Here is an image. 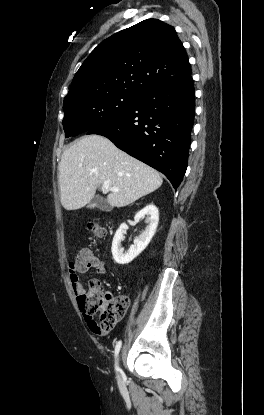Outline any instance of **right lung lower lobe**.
<instances>
[{"mask_svg": "<svg viewBox=\"0 0 264 415\" xmlns=\"http://www.w3.org/2000/svg\"><path fill=\"white\" fill-rule=\"evenodd\" d=\"M194 112L190 74L145 92L128 112L87 134L107 137L119 149L162 172L176 188L187 169Z\"/></svg>", "mask_w": 264, "mask_h": 415, "instance_id": "obj_1", "label": "right lung lower lobe"}]
</instances>
